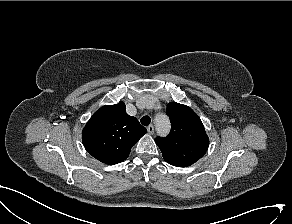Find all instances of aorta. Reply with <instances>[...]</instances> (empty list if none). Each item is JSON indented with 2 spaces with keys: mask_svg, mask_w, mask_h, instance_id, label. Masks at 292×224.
<instances>
[{
  "mask_svg": "<svg viewBox=\"0 0 292 224\" xmlns=\"http://www.w3.org/2000/svg\"><path fill=\"white\" fill-rule=\"evenodd\" d=\"M155 126L157 129V132L161 135L166 134L170 130V122L166 115L164 114H158L155 117Z\"/></svg>",
  "mask_w": 292,
  "mask_h": 224,
  "instance_id": "1",
  "label": "aorta"
}]
</instances>
